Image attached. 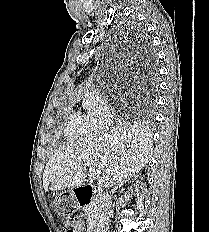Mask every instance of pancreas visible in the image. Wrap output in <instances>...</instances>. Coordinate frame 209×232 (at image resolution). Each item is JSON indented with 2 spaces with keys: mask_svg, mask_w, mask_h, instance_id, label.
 Returning a JSON list of instances; mask_svg holds the SVG:
<instances>
[{
  "mask_svg": "<svg viewBox=\"0 0 209 232\" xmlns=\"http://www.w3.org/2000/svg\"><path fill=\"white\" fill-rule=\"evenodd\" d=\"M85 211V217L87 219V224L93 225L97 219L98 216V207L97 205H90L88 207L84 208Z\"/></svg>",
  "mask_w": 209,
  "mask_h": 232,
  "instance_id": "pancreas-1",
  "label": "pancreas"
}]
</instances>
